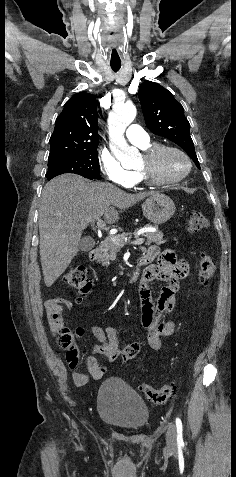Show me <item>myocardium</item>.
I'll return each instance as SVG.
<instances>
[{"instance_id":"1","label":"myocardium","mask_w":236,"mask_h":477,"mask_svg":"<svg viewBox=\"0 0 236 477\" xmlns=\"http://www.w3.org/2000/svg\"><path fill=\"white\" fill-rule=\"evenodd\" d=\"M167 152H174L182 156L186 161V170L182 175L178 177L170 179H160L156 176V164L159 158ZM191 169V159L188 154L182 149L171 145H156L144 152L143 163L138 167L137 172L141 176L142 180L147 184L160 186L171 185L181 182L190 174Z\"/></svg>"}]
</instances>
